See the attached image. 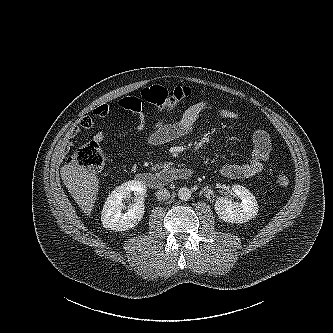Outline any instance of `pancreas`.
Returning a JSON list of instances; mask_svg holds the SVG:
<instances>
[{
	"instance_id": "cf45deb5",
	"label": "pancreas",
	"mask_w": 333,
	"mask_h": 333,
	"mask_svg": "<svg viewBox=\"0 0 333 333\" xmlns=\"http://www.w3.org/2000/svg\"><path fill=\"white\" fill-rule=\"evenodd\" d=\"M167 164H164V166H166ZM156 167L158 168H162L163 166L162 165H157Z\"/></svg>"
}]
</instances>
